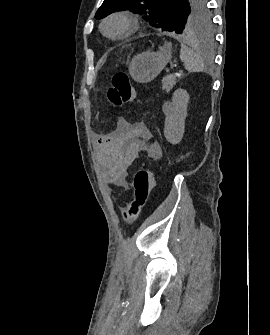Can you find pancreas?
I'll return each mask as SVG.
<instances>
[{
	"instance_id": "1",
	"label": "pancreas",
	"mask_w": 270,
	"mask_h": 335,
	"mask_svg": "<svg viewBox=\"0 0 270 335\" xmlns=\"http://www.w3.org/2000/svg\"><path fill=\"white\" fill-rule=\"evenodd\" d=\"M177 76H174V74H170V76H165L162 80V90H165V92H170L172 90L173 86H175Z\"/></svg>"
}]
</instances>
